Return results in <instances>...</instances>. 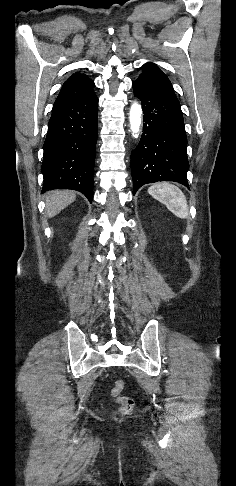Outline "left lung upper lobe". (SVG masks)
<instances>
[{
  "mask_svg": "<svg viewBox=\"0 0 236 486\" xmlns=\"http://www.w3.org/2000/svg\"><path fill=\"white\" fill-rule=\"evenodd\" d=\"M144 71L143 73L139 76L141 78H144L159 87L163 88L166 91L171 92L172 94L175 95L172 84L168 77L157 67L156 64L154 63H146L143 65Z\"/></svg>",
  "mask_w": 236,
  "mask_h": 486,
  "instance_id": "left-lung-upper-lobe-1",
  "label": "left lung upper lobe"
}]
</instances>
